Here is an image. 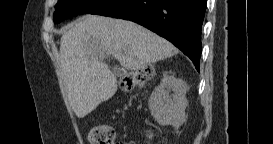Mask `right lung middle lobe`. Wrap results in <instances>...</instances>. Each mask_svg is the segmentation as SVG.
<instances>
[{
    "mask_svg": "<svg viewBox=\"0 0 273 144\" xmlns=\"http://www.w3.org/2000/svg\"><path fill=\"white\" fill-rule=\"evenodd\" d=\"M109 0H58L55 6L54 22L72 18L81 14H88L108 2Z\"/></svg>",
    "mask_w": 273,
    "mask_h": 144,
    "instance_id": "1",
    "label": "right lung middle lobe"
}]
</instances>
